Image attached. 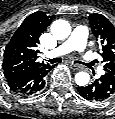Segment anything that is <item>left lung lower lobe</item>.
<instances>
[{
    "mask_svg": "<svg viewBox=\"0 0 115 119\" xmlns=\"http://www.w3.org/2000/svg\"><path fill=\"white\" fill-rule=\"evenodd\" d=\"M77 90L87 100H106L115 94V77L105 73L92 84L78 87Z\"/></svg>",
    "mask_w": 115,
    "mask_h": 119,
    "instance_id": "0a47b994",
    "label": "left lung lower lobe"
}]
</instances>
